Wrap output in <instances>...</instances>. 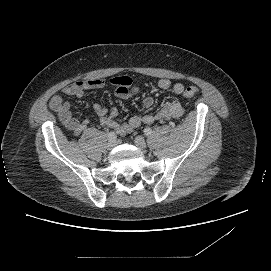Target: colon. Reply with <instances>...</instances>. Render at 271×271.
Listing matches in <instances>:
<instances>
[{
    "label": "colon",
    "mask_w": 271,
    "mask_h": 271,
    "mask_svg": "<svg viewBox=\"0 0 271 271\" xmlns=\"http://www.w3.org/2000/svg\"><path fill=\"white\" fill-rule=\"evenodd\" d=\"M198 94H199V89L196 87H187L183 93L184 97L186 98H192Z\"/></svg>",
    "instance_id": "5ec220e1"
}]
</instances>
